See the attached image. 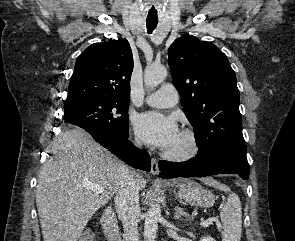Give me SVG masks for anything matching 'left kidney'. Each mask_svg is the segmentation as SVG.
<instances>
[{
	"instance_id": "5707ae66",
	"label": "left kidney",
	"mask_w": 295,
	"mask_h": 241,
	"mask_svg": "<svg viewBox=\"0 0 295 241\" xmlns=\"http://www.w3.org/2000/svg\"><path fill=\"white\" fill-rule=\"evenodd\" d=\"M200 241H215V240L211 237H202Z\"/></svg>"
}]
</instances>
